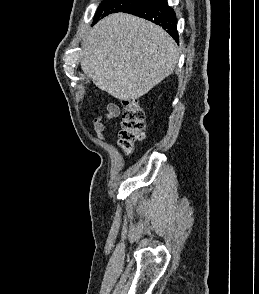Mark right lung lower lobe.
I'll return each mask as SVG.
<instances>
[{"mask_svg": "<svg viewBox=\"0 0 259 294\" xmlns=\"http://www.w3.org/2000/svg\"><path fill=\"white\" fill-rule=\"evenodd\" d=\"M122 12L130 13L162 26L178 42L177 18L167 0H140Z\"/></svg>", "mask_w": 259, "mask_h": 294, "instance_id": "obj_1", "label": "right lung lower lobe"}]
</instances>
